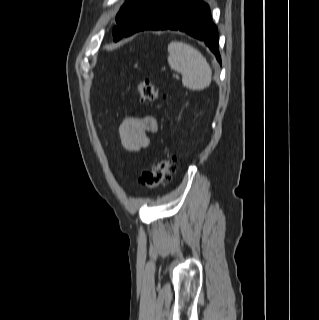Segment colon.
<instances>
[{"instance_id": "5ec220e1", "label": "colon", "mask_w": 319, "mask_h": 320, "mask_svg": "<svg viewBox=\"0 0 319 320\" xmlns=\"http://www.w3.org/2000/svg\"><path fill=\"white\" fill-rule=\"evenodd\" d=\"M140 97L144 101H155L159 97L156 84L146 78L138 85ZM176 171V165L172 158L165 157L154 161L142 173L140 184L146 188H155L172 178Z\"/></svg>"}]
</instances>
